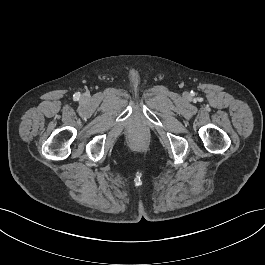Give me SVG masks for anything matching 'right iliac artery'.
Instances as JSON below:
<instances>
[{"label": "right iliac artery", "instance_id": "82829eb1", "mask_svg": "<svg viewBox=\"0 0 265 265\" xmlns=\"http://www.w3.org/2000/svg\"><path fill=\"white\" fill-rule=\"evenodd\" d=\"M78 97H79V95H78V94H76V95H75V98H78Z\"/></svg>", "mask_w": 265, "mask_h": 265}]
</instances>
